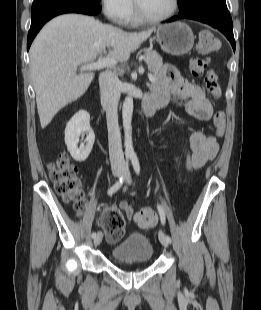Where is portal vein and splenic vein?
<instances>
[{
  "mask_svg": "<svg viewBox=\"0 0 261 310\" xmlns=\"http://www.w3.org/2000/svg\"><path fill=\"white\" fill-rule=\"evenodd\" d=\"M117 61L115 59H104L102 57H99L98 61L95 63L83 65L80 68V71H93L96 69H101L107 66L116 65ZM148 78L150 82H155L156 78L152 74H148Z\"/></svg>",
  "mask_w": 261,
  "mask_h": 310,
  "instance_id": "portal-vein-and-splenic-vein-1",
  "label": "portal vein and splenic vein"
}]
</instances>
